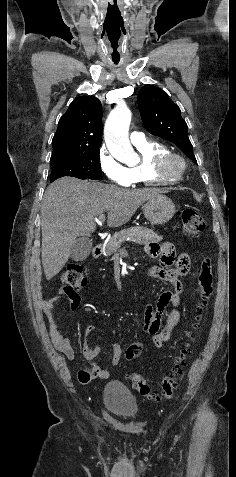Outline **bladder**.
<instances>
[{"mask_svg":"<svg viewBox=\"0 0 236 477\" xmlns=\"http://www.w3.org/2000/svg\"><path fill=\"white\" fill-rule=\"evenodd\" d=\"M105 408L115 416L130 417L137 413L138 405L127 388L117 381H110L103 390Z\"/></svg>","mask_w":236,"mask_h":477,"instance_id":"obj_1","label":"bladder"}]
</instances>
